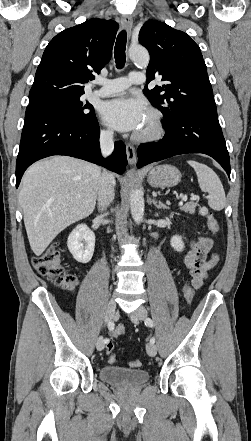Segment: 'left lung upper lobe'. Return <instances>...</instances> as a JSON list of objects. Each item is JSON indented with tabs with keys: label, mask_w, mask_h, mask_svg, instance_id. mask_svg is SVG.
Instances as JSON below:
<instances>
[{
	"label": "left lung upper lobe",
	"mask_w": 251,
	"mask_h": 441,
	"mask_svg": "<svg viewBox=\"0 0 251 441\" xmlns=\"http://www.w3.org/2000/svg\"><path fill=\"white\" fill-rule=\"evenodd\" d=\"M139 42L150 53L147 83L157 76L164 85L144 94L163 114L162 124L183 113L216 111L212 87L199 46L184 32L150 20L139 32Z\"/></svg>",
	"instance_id": "left-lung-upper-lobe-1"
}]
</instances>
